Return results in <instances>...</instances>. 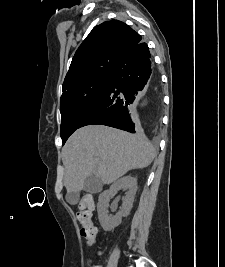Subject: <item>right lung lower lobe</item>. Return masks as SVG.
I'll return each mask as SVG.
<instances>
[{"label": "right lung lower lobe", "mask_w": 225, "mask_h": 267, "mask_svg": "<svg viewBox=\"0 0 225 267\" xmlns=\"http://www.w3.org/2000/svg\"><path fill=\"white\" fill-rule=\"evenodd\" d=\"M150 87L158 91L159 79L148 45L140 42L120 57L97 104L83 118L78 128L100 124L134 133L135 126L130 116L132 104L139 94Z\"/></svg>", "instance_id": "right-lung-lower-lobe-1"}]
</instances>
